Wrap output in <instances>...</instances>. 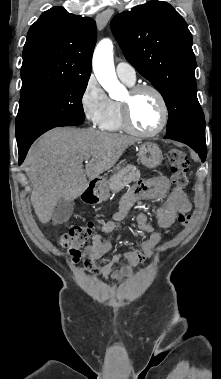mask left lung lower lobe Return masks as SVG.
Returning a JSON list of instances; mask_svg holds the SVG:
<instances>
[{"instance_id": "0a47b994", "label": "left lung lower lobe", "mask_w": 221, "mask_h": 379, "mask_svg": "<svg viewBox=\"0 0 221 379\" xmlns=\"http://www.w3.org/2000/svg\"><path fill=\"white\" fill-rule=\"evenodd\" d=\"M164 138L173 139V140L180 141L189 145L193 150H195L199 154L202 162L205 161L206 155H207L205 139L196 137L188 133H181V132L168 133Z\"/></svg>"}]
</instances>
